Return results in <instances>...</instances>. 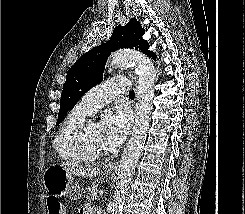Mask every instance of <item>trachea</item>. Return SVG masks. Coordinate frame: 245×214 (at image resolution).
Returning <instances> with one entry per match:
<instances>
[{
    "label": "trachea",
    "mask_w": 245,
    "mask_h": 214,
    "mask_svg": "<svg viewBox=\"0 0 245 214\" xmlns=\"http://www.w3.org/2000/svg\"><path fill=\"white\" fill-rule=\"evenodd\" d=\"M129 97H130V98H134V97H135L134 90H130V91H129Z\"/></svg>",
    "instance_id": "3493384b"
}]
</instances>
